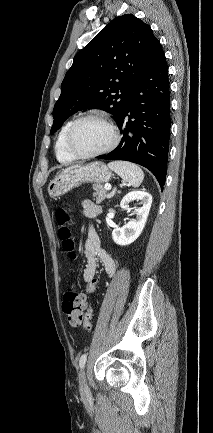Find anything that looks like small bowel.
<instances>
[{
  "label": "small bowel",
  "mask_w": 213,
  "mask_h": 433,
  "mask_svg": "<svg viewBox=\"0 0 213 433\" xmlns=\"http://www.w3.org/2000/svg\"><path fill=\"white\" fill-rule=\"evenodd\" d=\"M100 212V207L91 201L83 202L82 213L88 217L93 218ZM82 253L84 254L87 265L83 271L82 283L86 285L88 293H94L99 284L97 277V268L99 264L102 265L105 273L109 278H112L116 272V264L112 257L101 247L98 234L92 225H89L87 234L82 246ZM87 317L90 321L92 317V309H87Z\"/></svg>",
  "instance_id": "obj_1"
}]
</instances>
